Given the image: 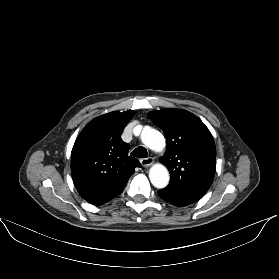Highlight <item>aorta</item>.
<instances>
[{
	"mask_svg": "<svg viewBox=\"0 0 279 279\" xmlns=\"http://www.w3.org/2000/svg\"><path fill=\"white\" fill-rule=\"evenodd\" d=\"M141 141L149 149L155 152H161L165 147V140L162 134L150 127L143 129L141 133ZM149 179L154 187L162 189L168 185L170 176L164 165L155 164L149 171Z\"/></svg>",
	"mask_w": 279,
	"mask_h": 279,
	"instance_id": "obj_1",
	"label": "aorta"
}]
</instances>
